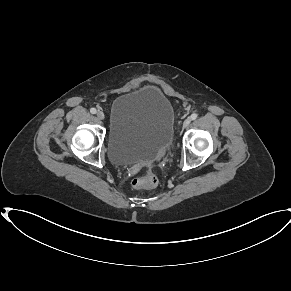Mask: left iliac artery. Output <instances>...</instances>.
I'll use <instances>...</instances> for the list:
<instances>
[{"label": "left iliac artery", "mask_w": 291, "mask_h": 291, "mask_svg": "<svg viewBox=\"0 0 291 291\" xmlns=\"http://www.w3.org/2000/svg\"><path fill=\"white\" fill-rule=\"evenodd\" d=\"M197 117H198V115H197L196 113H193V114L191 115V119H192V120H195Z\"/></svg>", "instance_id": "left-iliac-artery-1"}]
</instances>
